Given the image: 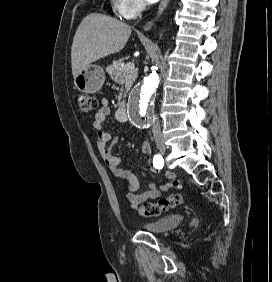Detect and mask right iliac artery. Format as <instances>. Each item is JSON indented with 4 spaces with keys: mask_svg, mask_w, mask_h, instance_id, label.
I'll return each instance as SVG.
<instances>
[{
    "mask_svg": "<svg viewBox=\"0 0 272 282\" xmlns=\"http://www.w3.org/2000/svg\"><path fill=\"white\" fill-rule=\"evenodd\" d=\"M153 166L156 169H162L164 166V159L163 157L159 154L155 155L153 158Z\"/></svg>",
    "mask_w": 272,
    "mask_h": 282,
    "instance_id": "obj_1",
    "label": "right iliac artery"
}]
</instances>
